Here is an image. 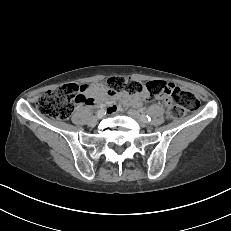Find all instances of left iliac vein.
Returning a JSON list of instances; mask_svg holds the SVG:
<instances>
[{"mask_svg":"<svg viewBox=\"0 0 231 231\" xmlns=\"http://www.w3.org/2000/svg\"><path fill=\"white\" fill-rule=\"evenodd\" d=\"M129 116H131L132 118H134L141 127H145L147 125V121L143 118V116H141L139 114L138 111L136 110H129L128 112Z\"/></svg>","mask_w":231,"mask_h":231,"instance_id":"left-iliac-vein-1","label":"left iliac vein"}]
</instances>
